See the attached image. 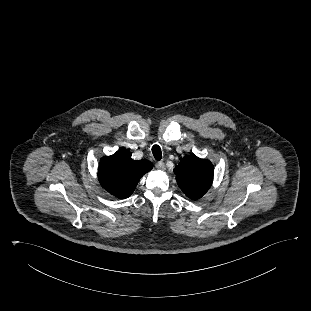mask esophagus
<instances>
[{
    "instance_id": "1",
    "label": "esophagus",
    "mask_w": 311,
    "mask_h": 311,
    "mask_svg": "<svg viewBox=\"0 0 311 311\" xmlns=\"http://www.w3.org/2000/svg\"><path fill=\"white\" fill-rule=\"evenodd\" d=\"M156 168L159 170H165L166 167L165 164L162 161H160L156 163Z\"/></svg>"
}]
</instances>
